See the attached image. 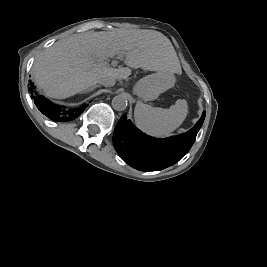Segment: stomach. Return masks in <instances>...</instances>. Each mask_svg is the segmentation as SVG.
<instances>
[{
    "label": "stomach",
    "instance_id": "stomach-1",
    "mask_svg": "<svg viewBox=\"0 0 267 267\" xmlns=\"http://www.w3.org/2000/svg\"><path fill=\"white\" fill-rule=\"evenodd\" d=\"M174 83L173 74L157 71L140 79L135 84L133 92L144 101L155 100L161 93L171 88Z\"/></svg>",
    "mask_w": 267,
    "mask_h": 267
}]
</instances>
